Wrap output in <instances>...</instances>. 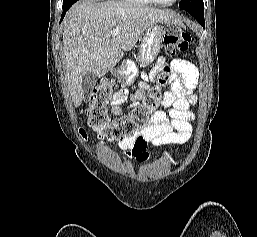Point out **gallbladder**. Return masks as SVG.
<instances>
[{
  "instance_id": "obj_1",
  "label": "gallbladder",
  "mask_w": 257,
  "mask_h": 237,
  "mask_svg": "<svg viewBox=\"0 0 257 237\" xmlns=\"http://www.w3.org/2000/svg\"><path fill=\"white\" fill-rule=\"evenodd\" d=\"M96 81H97V76L93 72H88L83 76L82 91H83L84 98H88L91 95L92 90L96 85Z\"/></svg>"
}]
</instances>
